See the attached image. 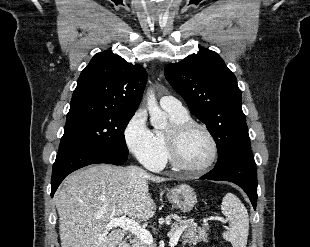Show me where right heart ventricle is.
Returning a JSON list of instances; mask_svg holds the SVG:
<instances>
[{"label": "right heart ventricle", "instance_id": "right-heart-ventricle-1", "mask_svg": "<svg viewBox=\"0 0 310 247\" xmlns=\"http://www.w3.org/2000/svg\"><path fill=\"white\" fill-rule=\"evenodd\" d=\"M166 113H167L169 119L171 120L172 124L180 123V122H186V121L191 120L188 113L183 114V115L174 114V113H171L168 111H166ZM155 138H156L157 143L161 149L164 163H166L168 160H170L168 146H167V140H166V132L156 130Z\"/></svg>", "mask_w": 310, "mask_h": 247}]
</instances>
